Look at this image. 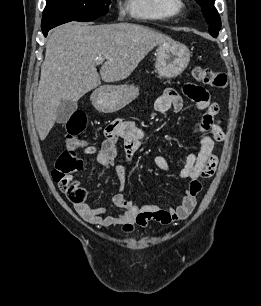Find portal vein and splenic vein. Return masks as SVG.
<instances>
[{"label": "portal vein and splenic vein", "mask_w": 261, "mask_h": 306, "mask_svg": "<svg viewBox=\"0 0 261 306\" xmlns=\"http://www.w3.org/2000/svg\"><path fill=\"white\" fill-rule=\"evenodd\" d=\"M96 61H97V64H101L104 62V59L102 57H97Z\"/></svg>", "instance_id": "obj_1"}]
</instances>
